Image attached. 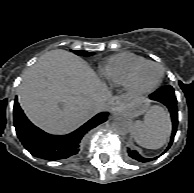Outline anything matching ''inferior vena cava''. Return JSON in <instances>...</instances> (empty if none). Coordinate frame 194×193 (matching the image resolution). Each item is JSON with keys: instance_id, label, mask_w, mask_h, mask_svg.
Returning <instances> with one entry per match:
<instances>
[{"instance_id": "obj_1", "label": "inferior vena cava", "mask_w": 194, "mask_h": 193, "mask_svg": "<svg viewBox=\"0 0 194 193\" xmlns=\"http://www.w3.org/2000/svg\"><path fill=\"white\" fill-rule=\"evenodd\" d=\"M90 108H91V110H93V111H97V110L99 109V104H98V102H91Z\"/></svg>"}]
</instances>
